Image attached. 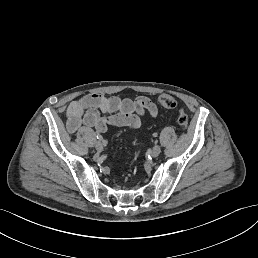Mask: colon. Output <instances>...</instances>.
<instances>
[{
  "mask_svg": "<svg viewBox=\"0 0 258 258\" xmlns=\"http://www.w3.org/2000/svg\"><path fill=\"white\" fill-rule=\"evenodd\" d=\"M159 103L166 109H173L177 106L176 100L168 94H162L159 97ZM177 121L180 126L187 127L188 116L183 109L179 110Z\"/></svg>",
  "mask_w": 258,
  "mask_h": 258,
  "instance_id": "1",
  "label": "colon"
}]
</instances>
